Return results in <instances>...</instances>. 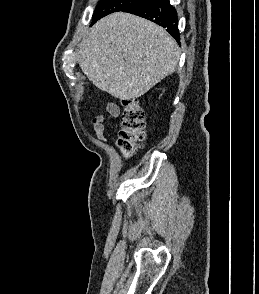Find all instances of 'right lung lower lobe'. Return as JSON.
I'll use <instances>...</instances> for the list:
<instances>
[{
	"mask_svg": "<svg viewBox=\"0 0 259 294\" xmlns=\"http://www.w3.org/2000/svg\"><path fill=\"white\" fill-rule=\"evenodd\" d=\"M138 15L164 27L175 39L180 40L178 17L169 0H139L122 10Z\"/></svg>",
	"mask_w": 259,
	"mask_h": 294,
	"instance_id": "98d812e1",
	"label": "right lung lower lobe"
}]
</instances>
